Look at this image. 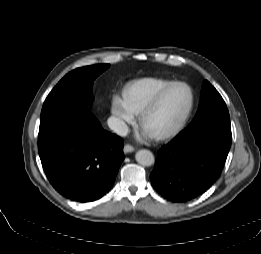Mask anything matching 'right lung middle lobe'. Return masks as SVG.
Segmentation results:
<instances>
[{"instance_id": "obj_1", "label": "right lung middle lobe", "mask_w": 261, "mask_h": 254, "mask_svg": "<svg viewBox=\"0 0 261 254\" xmlns=\"http://www.w3.org/2000/svg\"><path fill=\"white\" fill-rule=\"evenodd\" d=\"M109 64L77 68L65 75L47 96L44 104L66 99L89 101L94 79L105 71Z\"/></svg>"}]
</instances>
